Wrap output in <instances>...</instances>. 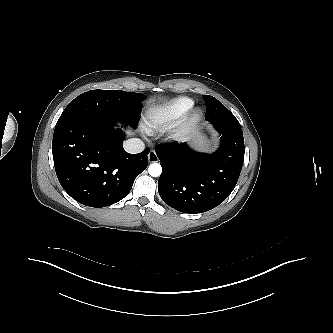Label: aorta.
I'll use <instances>...</instances> for the list:
<instances>
[{"label":"aorta","mask_w":333,"mask_h":333,"mask_svg":"<svg viewBox=\"0 0 333 333\" xmlns=\"http://www.w3.org/2000/svg\"><path fill=\"white\" fill-rule=\"evenodd\" d=\"M148 172H149L150 176L158 177V176H160V174L162 172V167L158 163H153L149 166Z\"/></svg>","instance_id":"aorta-1"}]
</instances>
